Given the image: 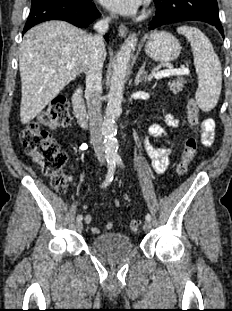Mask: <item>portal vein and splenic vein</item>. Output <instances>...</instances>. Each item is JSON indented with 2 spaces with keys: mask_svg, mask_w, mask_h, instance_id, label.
Instances as JSON below:
<instances>
[{
  "mask_svg": "<svg viewBox=\"0 0 232 311\" xmlns=\"http://www.w3.org/2000/svg\"><path fill=\"white\" fill-rule=\"evenodd\" d=\"M73 65L68 63L66 65V69L68 70H72L73 69ZM172 75H189V70L187 68H180V69H166V70H162L157 72L154 77L156 79H161V78H165V77H169Z\"/></svg>",
  "mask_w": 232,
  "mask_h": 311,
  "instance_id": "18ae733b",
  "label": "portal vein and splenic vein"
}]
</instances>
